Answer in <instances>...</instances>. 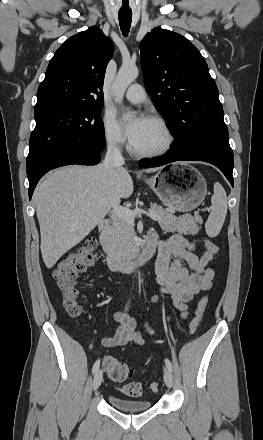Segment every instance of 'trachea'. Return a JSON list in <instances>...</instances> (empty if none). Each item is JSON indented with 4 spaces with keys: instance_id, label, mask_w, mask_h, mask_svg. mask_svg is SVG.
Segmentation results:
<instances>
[{
    "instance_id": "3493384b",
    "label": "trachea",
    "mask_w": 263,
    "mask_h": 440,
    "mask_svg": "<svg viewBox=\"0 0 263 440\" xmlns=\"http://www.w3.org/2000/svg\"><path fill=\"white\" fill-rule=\"evenodd\" d=\"M119 24L124 36H127L131 26L132 12H119Z\"/></svg>"
}]
</instances>
